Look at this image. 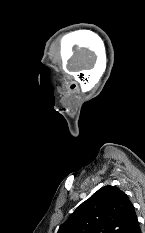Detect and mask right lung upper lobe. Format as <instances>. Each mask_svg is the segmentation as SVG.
<instances>
[{"label": "right lung upper lobe", "instance_id": "right-lung-upper-lobe-1", "mask_svg": "<svg viewBox=\"0 0 145 233\" xmlns=\"http://www.w3.org/2000/svg\"><path fill=\"white\" fill-rule=\"evenodd\" d=\"M136 222L128 196L115 186H104L71 214L58 233H130Z\"/></svg>", "mask_w": 145, "mask_h": 233}]
</instances>
